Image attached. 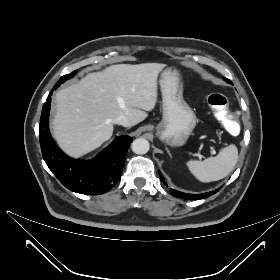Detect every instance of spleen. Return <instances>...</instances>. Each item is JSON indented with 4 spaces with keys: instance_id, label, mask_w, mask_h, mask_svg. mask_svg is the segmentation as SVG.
Here are the masks:
<instances>
[{
    "instance_id": "1",
    "label": "spleen",
    "mask_w": 280,
    "mask_h": 280,
    "mask_svg": "<svg viewBox=\"0 0 280 280\" xmlns=\"http://www.w3.org/2000/svg\"><path fill=\"white\" fill-rule=\"evenodd\" d=\"M237 159V147L230 144L221 149L215 157H209L203 161L190 160L186 164L199 181L208 183L225 178L233 170Z\"/></svg>"
}]
</instances>
